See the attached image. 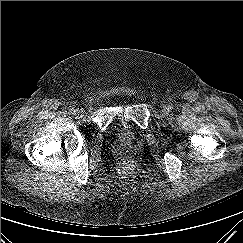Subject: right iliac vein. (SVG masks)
Masks as SVG:
<instances>
[{
	"instance_id": "1",
	"label": "right iliac vein",
	"mask_w": 243,
	"mask_h": 243,
	"mask_svg": "<svg viewBox=\"0 0 243 243\" xmlns=\"http://www.w3.org/2000/svg\"><path fill=\"white\" fill-rule=\"evenodd\" d=\"M75 115H76L77 117H82L83 112H82L81 110H77L76 113H75Z\"/></svg>"
}]
</instances>
